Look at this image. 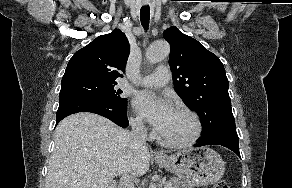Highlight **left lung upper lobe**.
Listing matches in <instances>:
<instances>
[{"label": "left lung upper lobe", "instance_id": "left-lung-upper-lobe-1", "mask_svg": "<svg viewBox=\"0 0 292 188\" xmlns=\"http://www.w3.org/2000/svg\"><path fill=\"white\" fill-rule=\"evenodd\" d=\"M163 36L171 45L169 65L175 91L200 117L202 135L235 124L229 82L220 59L175 26Z\"/></svg>", "mask_w": 292, "mask_h": 188}]
</instances>
